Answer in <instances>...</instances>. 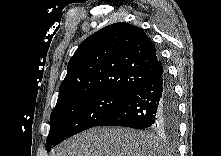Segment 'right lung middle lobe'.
<instances>
[{
	"instance_id": "1",
	"label": "right lung middle lobe",
	"mask_w": 221,
	"mask_h": 156,
	"mask_svg": "<svg viewBox=\"0 0 221 156\" xmlns=\"http://www.w3.org/2000/svg\"><path fill=\"white\" fill-rule=\"evenodd\" d=\"M130 96L115 92H98L56 104L50 118L47 151L81 131L98 126Z\"/></svg>"
}]
</instances>
